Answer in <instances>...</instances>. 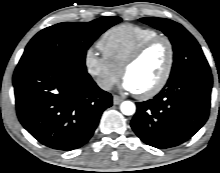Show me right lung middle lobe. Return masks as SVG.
I'll list each match as a JSON object with an SVG mask.
<instances>
[{"label": "right lung middle lobe", "mask_w": 220, "mask_h": 173, "mask_svg": "<svg viewBox=\"0 0 220 173\" xmlns=\"http://www.w3.org/2000/svg\"><path fill=\"white\" fill-rule=\"evenodd\" d=\"M120 21V17L106 16L91 22H64L45 28L28 43L18 65L57 62L87 72V49L103 32Z\"/></svg>", "instance_id": "right-lung-middle-lobe-1"}]
</instances>
